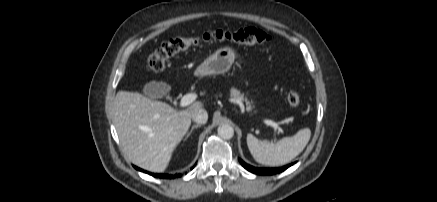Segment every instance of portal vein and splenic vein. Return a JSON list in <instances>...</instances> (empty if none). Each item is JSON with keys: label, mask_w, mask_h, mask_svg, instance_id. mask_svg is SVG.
Masks as SVG:
<instances>
[{"label": "portal vein and splenic vein", "mask_w": 437, "mask_h": 202, "mask_svg": "<svg viewBox=\"0 0 437 202\" xmlns=\"http://www.w3.org/2000/svg\"><path fill=\"white\" fill-rule=\"evenodd\" d=\"M196 97H197L196 94H193V93H189V94L184 95L181 98L180 106L181 107H186V106L192 104L196 100ZM264 123L266 125H268V126H271L274 129L275 133L277 131L278 132H282V129L279 127L278 123H276V122H274L272 120H264ZM274 140L277 141L275 135H274Z\"/></svg>", "instance_id": "18ae733b"}]
</instances>
